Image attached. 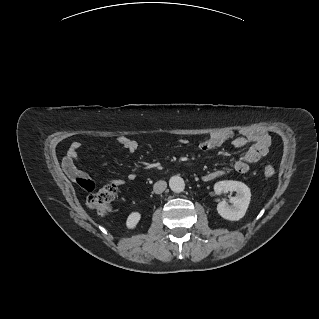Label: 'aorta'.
Instances as JSON below:
<instances>
[{"label":"aorta","mask_w":319,"mask_h":319,"mask_svg":"<svg viewBox=\"0 0 319 319\" xmlns=\"http://www.w3.org/2000/svg\"><path fill=\"white\" fill-rule=\"evenodd\" d=\"M170 189L175 193H180L185 189V182L180 176H172L169 180Z\"/></svg>","instance_id":"aorta-1"}]
</instances>
